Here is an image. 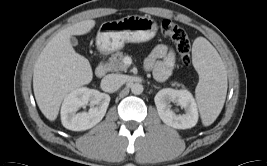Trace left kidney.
<instances>
[{
    "label": "left kidney",
    "mask_w": 267,
    "mask_h": 166,
    "mask_svg": "<svg viewBox=\"0 0 267 166\" xmlns=\"http://www.w3.org/2000/svg\"><path fill=\"white\" fill-rule=\"evenodd\" d=\"M158 115L168 126L176 129H188L198 122V110L195 99L188 90L165 88L160 90L155 98ZM171 103H176L185 109L182 115H176L171 109Z\"/></svg>",
    "instance_id": "left-kidney-1"
}]
</instances>
